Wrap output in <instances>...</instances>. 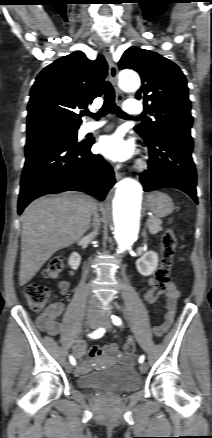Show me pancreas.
Returning a JSON list of instances; mask_svg holds the SVG:
<instances>
[{
  "label": "pancreas",
  "mask_w": 212,
  "mask_h": 438,
  "mask_svg": "<svg viewBox=\"0 0 212 438\" xmlns=\"http://www.w3.org/2000/svg\"><path fill=\"white\" fill-rule=\"evenodd\" d=\"M161 223L162 222H161V220L159 218H157V217H150L147 220V226H148L149 232L151 234H156L159 231H161L162 230Z\"/></svg>",
  "instance_id": "obj_1"
}]
</instances>
